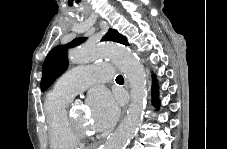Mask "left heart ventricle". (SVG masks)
<instances>
[{
    "label": "left heart ventricle",
    "mask_w": 227,
    "mask_h": 149,
    "mask_svg": "<svg viewBox=\"0 0 227 149\" xmlns=\"http://www.w3.org/2000/svg\"><path fill=\"white\" fill-rule=\"evenodd\" d=\"M72 118L83 128L87 129L89 126L87 124V117L83 110L79 109L72 113Z\"/></svg>",
    "instance_id": "obj_1"
}]
</instances>
